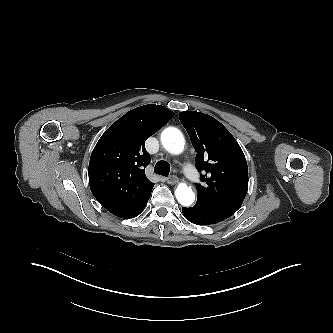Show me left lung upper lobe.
Listing matches in <instances>:
<instances>
[{
	"instance_id": "1",
	"label": "left lung upper lobe",
	"mask_w": 333,
	"mask_h": 333,
	"mask_svg": "<svg viewBox=\"0 0 333 333\" xmlns=\"http://www.w3.org/2000/svg\"><path fill=\"white\" fill-rule=\"evenodd\" d=\"M197 152L196 167L203 184H196L197 200L233 215L248 190V168L242 149L215 118L196 111L179 113Z\"/></svg>"
}]
</instances>
